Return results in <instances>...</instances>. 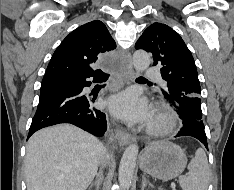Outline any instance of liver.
<instances>
[{
    "mask_svg": "<svg viewBox=\"0 0 234 190\" xmlns=\"http://www.w3.org/2000/svg\"><path fill=\"white\" fill-rule=\"evenodd\" d=\"M105 155L104 145L78 127L41 129L26 146L27 190H86Z\"/></svg>",
    "mask_w": 234,
    "mask_h": 190,
    "instance_id": "6515ba94",
    "label": "liver"
}]
</instances>
